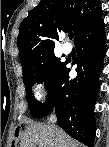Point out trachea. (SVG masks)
<instances>
[{"label": "trachea", "instance_id": "3493384b", "mask_svg": "<svg viewBox=\"0 0 109 147\" xmlns=\"http://www.w3.org/2000/svg\"><path fill=\"white\" fill-rule=\"evenodd\" d=\"M69 38L70 39H73V34H69Z\"/></svg>", "mask_w": 109, "mask_h": 147}]
</instances>
